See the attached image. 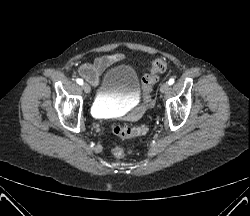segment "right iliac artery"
<instances>
[{"label": "right iliac artery", "instance_id": "right-iliac-artery-1", "mask_svg": "<svg viewBox=\"0 0 250 216\" xmlns=\"http://www.w3.org/2000/svg\"><path fill=\"white\" fill-rule=\"evenodd\" d=\"M76 82H77L79 85H82V84H83V80L80 79V78L76 79Z\"/></svg>", "mask_w": 250, "mask_h": 216}]
</instances>
